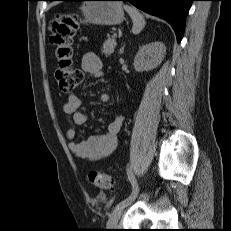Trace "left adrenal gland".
<instances>
[{"instance_id":"1","label":"left adrenal gland","mask_w":231,"mask_h":231,"mask_svg":"<svg viewBox=\"0 0 231 231\" xmlns=\"http://www.w3.org/2000/svg\"><path fill=\"white\" fill-rule=\"evenodd\" d=\"M124 51V46L122 47V49L120 50V54Z\"/></svg>"}]
</instances>
